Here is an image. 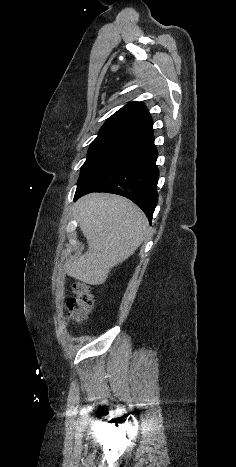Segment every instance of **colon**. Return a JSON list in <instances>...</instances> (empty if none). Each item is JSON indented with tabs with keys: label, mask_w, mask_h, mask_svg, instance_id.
I'll use <instances>...</instances> for the list:
<instances>
[{
	"label": "colon",
	"mask_w": 236,
	"mask_h": 467,
	"mask_svg": "<svg viewBox=\"0 0 236 467\" xmlns=\"http://www.w3.org/2000/svg\"><path fill=\"white\" fill-rule=\"evenodd\" d=\"M74 297L67 301L68 318L75 324L82 323L93 307V296L87 283L76 281L73 284Z\"/></svg>",
	"instance_id": "5ec220e1"
}]
</instances>
